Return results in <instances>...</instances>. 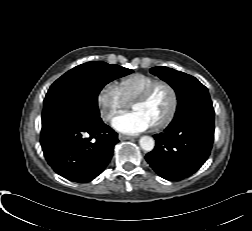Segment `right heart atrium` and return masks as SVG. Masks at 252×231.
Returning a JSON list of instances; mask_svg holds the SVG:
<instances>
[{"instance_id": "1", "label": "right heart atrium", "mask_w": 252, "mask_h": 231, "mask_svg": "<svg viewBox=\"0 0 252 231\" xmlns=\"http://www.w3.org/2000/svg\"><path fill=\"white\" fill-rule=\"evenodd\" d=\"M96 102L100 117L104 121H110L128 107V103L122 98L114 83H107L99 90Z\"/></svg>"}]
</instances>
